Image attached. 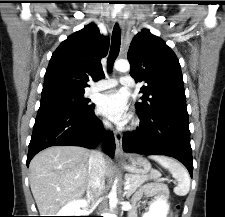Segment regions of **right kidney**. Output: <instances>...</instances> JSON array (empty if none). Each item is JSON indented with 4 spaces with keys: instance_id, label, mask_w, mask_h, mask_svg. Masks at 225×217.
<instances>
[{
    "instance_id": "1",
    "label": "right kidney",
    "mask_w": 225,
    "mask_h": 217,
    "mask_svg": "<svg viewBox=\"0 0 225 217\" xmlns=\"http://www.w3.org/2000/svg\"><path fill=\"white\" fill-rule=\"evenodd\" d=\"M88 202L86 200H77L64 206L57 214V216H81V208H86Z\"/></svg>"
}]
</instances>
